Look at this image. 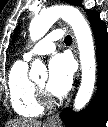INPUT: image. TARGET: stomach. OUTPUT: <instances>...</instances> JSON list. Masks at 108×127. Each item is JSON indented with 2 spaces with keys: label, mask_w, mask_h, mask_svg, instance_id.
<instances>
[{
  "label": "stomach",
  "mask_w": 108,
  "mask_h": 127,
  "mask_svg": "<svg viewBox=\"0 0 108 127\" xmlns=\"http://www.w3.org/2000/svg\"><path fill=\"white\" fill-rule=\"evenodd\" d=\"M45 127H59L58 125H45Z\"/></svg>",
  "instance_id": "1"
}]
</instances>
